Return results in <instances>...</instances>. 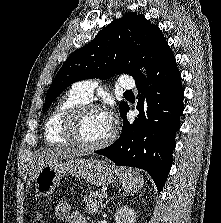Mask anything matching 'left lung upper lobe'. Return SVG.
Wrapping results in <instances>:
<instances>
[{"instance_id":"5c2ea615","label":"left lung upper lobe","mask_w":221,"mask_h":223,"mask_svg":"<svg viewBox=\"0 0 221 223\" xmlns=\"http://www.w3.org/2000/svg\"><path fill=\"white\" fill-rule=\"evenodd\" d=\"M168 47L158 26L146 20L144 15L129 12L111 22L90 43L67 58L47 92L42 110L79 80L108 79L125 73L137 83L145 78L140 66L150 74ZM126 106V102L120 103L121 113Z\"/></svg>"}]
</instances>
